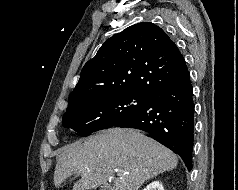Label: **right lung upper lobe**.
<instances>
[{"instance_id":"1","label":"right lung upper lobe","mask_w":238,"mask_h":190,"mask_svg":"<svg viewBox=\"0 0 238 190\" xmlns=\"http://www.w3.org/2000/svg\"><path fill=\"white\" fill-rule=\"evenodd\" d=\"M187 70L176 44L157 25L142 22L109 38L83 67L68 108L95 95L151 97Z\"/></svg>"}]
</instances>
